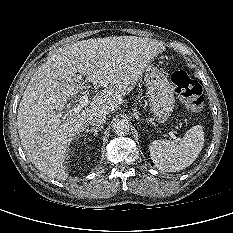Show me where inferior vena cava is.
<instances>
[{
    "label": "inferior vena cava",
    "instance_id": "inferior-vena-cava-1",
    "mask_svg": "<svg viewBox=\"0 0 233 233\" xmlns=\"http://www.w3.org/2000/svg\"><path fill=\"white\" fill-rule=\"evenodd\" d=\"M87 121L90 125L100 126L106 121V114L102 111H94L88 115Z\"/></svg>",
    "mask_w": 233,
    "mask_h": 233
}]
</instances>
